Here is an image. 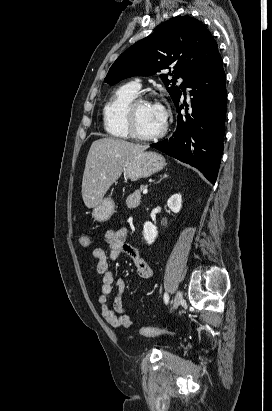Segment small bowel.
Masks as SVG:
<instances>
[{
	"label": "small bowel",
	"mask_w": 272,
	"mask_h": 411,
	"mask_svg": "<svg viewBox=\"0 0 272 411\" xmlns=\"http://www.w3.org/2000/svg\"><path fill=\"white\" fill-rule=\"evenodd\" d=\"M127 228L123 227L118 230H108L105 233V241L108 244V252L103 248H96L92 255L97 265V272L101 277L100 295L98 303L102 318L110 326L117 329H127L133 326L134 321L131 317L132 310L123 305L121 294L125 288L123 280H116L110 270L109 262L114 261L120 253L126 254L132 259L138 276L142 279H150L153 275L151 264L141 257L139 251L128 244ZM117 292L114 299L113 307L108 304V300Z\"/></svg>",
	"instance_id": "1"
}]
</instances>
